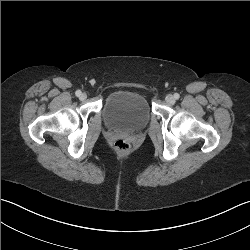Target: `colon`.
<instances>
[{"label": "colon", "instance_id": "5ec220e1", "mask_svg": "<svg viewBox=\"0 0 250 250\" xmlns=\"http://www.w3.org/2000/svg\"><path fill=\"white\" fill-rule=\"evenodd\" d=\"M113 148L120 154H126L130 150V143L125 139H117L113 143Z\"/></svg>", "mask_w": 250, "mask_h": 250}]
</instances>
